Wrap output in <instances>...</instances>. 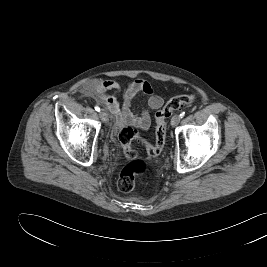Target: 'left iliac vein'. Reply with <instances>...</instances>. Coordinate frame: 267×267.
Returning a JSON list of instances; mask_svg holds the SVG:
<instances>
[{"mask_svg": "<svg viewBox=\"0 0 267 267\" xmlns=\"http://www.w3.org/2000/svg\"><path fill=\"white\" fill-rule=\"evenodd\" d=\"M180 115H174L171 119V125L174 127V126H177L180 122Z\"/></svg>", "mask_w": 267, "mask_h": 267, "instance_id": "1", "label": "left iliac vein"}]
</instances>
